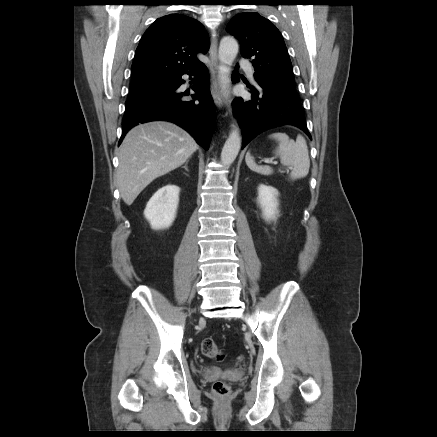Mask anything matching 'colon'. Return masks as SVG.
<instances>
[{"mask_svg": "<svg viewBox=\"0 0 437 437\" xmlns=\"http://www.w3.org/2000/svg\"><path fill=\"white\" fill-rule=\"evenodd\" d=\"M201 349L203 355L211 360L221 362L224 359L223 352L211 338L202 342ZM213 391L218 397L224 398L229 394L230 387L225 381L219 380L214 383Z\"/></svg>", "mask_w": 437, "mask_h": 437, "instance_id": "colon-1", "label": "colon"}]
</instances>
